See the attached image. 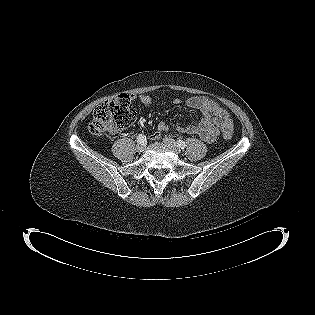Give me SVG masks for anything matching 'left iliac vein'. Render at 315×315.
<instances>
[{
	"label": "left iliac vein",
	"instance_id": "1",
	"mask_svg": "<svg viewBox=\"0 0 315 315\" xmlns=\"http://www.w3.org/2000/svg\"><path fill=\"white\" fill-rule=\"evenodd\" d=\"M163 142L170 147L171 149H173L176 153H180V148L178 146V144L176 143L175 140H173L172 138L169 137H165L163 139Z\"/></svg>",
	"mask_w": 315,
	"mask_h": 315
}]
</instances>
